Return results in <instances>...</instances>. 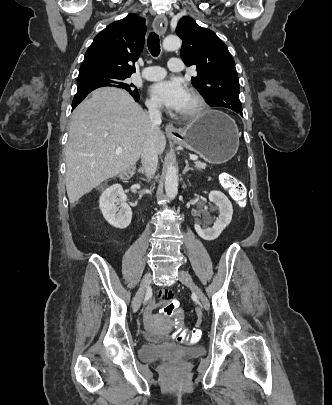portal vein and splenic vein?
Instances as JSON below:
<instances>
[{"instance_id": "18ae733b", "label": "portal vein and splenic vein", "mask_w": 332, "mask_h": 405, "mask_svg": "<svg viewBox=\"0 0 332 405\" xmlns=\"http://www.w3.org/2000/svg\"><path fill=\"white\" fill-rule=\"evenodd\" d=\"M121 152H122V147H118V148L115 150V153H116V154H120ZM190 159L196 161V160H197V156L191 155V156H190Z\"/></svg>"}]
</instances>
